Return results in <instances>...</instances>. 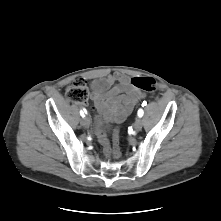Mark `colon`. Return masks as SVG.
Segmentation results:
<instances>
[{
    "label": "colon",
    "instance_id": "colon-1",
    "mask_svg": "<svg viewBox=\"0 0 221 221\" xmlns=\"http://www.w3.org/2000/svg\"><path fill=\"white\" fill-rule=\"evenodd\" d=\"M131 84L135 88L152 92L155 90V81L151 77H134L131 79ZM89 92L87 88V84L84 80L79 79L74 81L71 85L68 86L66 90V97L71 102L75 103H86L88 100ZM97 135L100 143L103 147V153L105 157L109 158L120 157V145H119V128L116 127L113 130L112 134V144L106 138L104 131L99 128L97 130Z\"/></svg>",
    "mask_w": 221,
    "mask_h": 221
}]
</instances>
